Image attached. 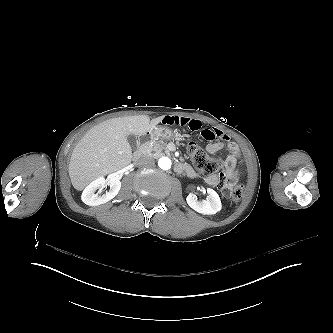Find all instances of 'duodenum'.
<instances>
[{
	"mask_svg": "<svg viewBox=\"0 0 333 333\" xmlns=\"http://www.w3.org/2000/svg\"><path fill=\"white\" fill-rule=\"evenodd\" d=\"M151 131H146L145 133H143L141 136H140V139H139V143H138V148L137 150L135 151L134 153V159H139L141 157V155L143 154L145 148H146V145L151 137ZM175 169L177 172H180V173H186L188 176L190 177H194L196 176V173L195 171L187 164H184V163H181V162H178L176 165H175Z\"/></svg>",
	"mask_w": 333,
	"mask_h": 333,
	"instance_id": "obj_1",
	"label": "duodenum"
}]
</instances>
